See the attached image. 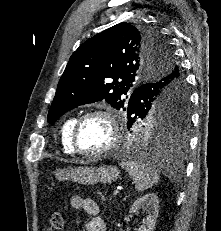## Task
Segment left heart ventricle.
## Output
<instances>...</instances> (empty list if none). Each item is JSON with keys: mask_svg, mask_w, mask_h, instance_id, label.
Here are the masks:
<instances>
[{"mask_svg": "<svg viewBox=\"0 0 221 231\" xmlns=\"http://www.w3.org/2000/svg\"><path fill=\"white\" fill-rule=\"evenodd\" d=\"M111 129L102 116L86 119L78 132V145L83 151L94 152L108 145Z\"/></svg>", "mask_w": 221, "mask_h": 231, "instance_id": "obj_1", "label": "left heart ventricle"}]
</instances>
